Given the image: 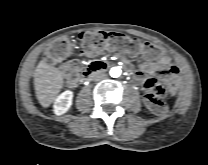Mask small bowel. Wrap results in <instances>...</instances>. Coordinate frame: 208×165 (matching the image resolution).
<instances>
[{
    "label": "small bowel",
    "instance_id": "c3829d8e",
    "mask_svg": "<svg viewBox=\"0 0 208 165\" xmlns=\"http://www.w3.org/2000/svg\"><path fill=\"white\" fill-rule=\"evenodd\" d=\"M123 62L124 64L128 65L126 60ZM81 67V63L78 61V59L71 58L68 61V65L61 71V79L69 89L73 90L78 87V79L80 76L79 72ZM144 74H149L152 77H158L160 80L166 81L171 86L178 85L182 80L179 66L175 62L171 61L168 56L156 58L151 54L142 53L140 70L134 73V79L137 82L144 84V97L148 106V98L155 95V90L160 85L154 78H145Z\"/></svg>",
    "mask_w": 208,
    "mask_h": 165
}]
</instances>
